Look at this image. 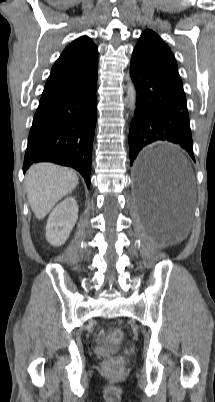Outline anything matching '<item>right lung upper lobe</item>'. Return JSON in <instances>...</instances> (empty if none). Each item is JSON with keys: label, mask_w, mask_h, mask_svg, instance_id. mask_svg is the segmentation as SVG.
Masks as SVG:
<instances>
[{"label": "right lung upper lobe", "mask_w": 215, "mask_h": 402, "mask_svg": "<svg viewBox=\"0 0 215 402\" xmlns=\"http://www.w3.org/2000/svg\"><path fill=\"white\" fill-rule=\"evenodd\" d=\"M98 49L87 36L68 45L51 69L39 104L76 89L97 75Z\"/></svg>", "instance_id": "right-lung-upper-lobe-1"}]
</instances>
